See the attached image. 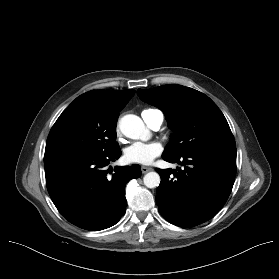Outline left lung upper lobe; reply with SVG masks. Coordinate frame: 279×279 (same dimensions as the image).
Masks as SVG:
<instances>
[{"label": "left lung upper lobe", "mask_w": 279, "mask_h": 279, "mask_svg": "<svg viewBox=\"0 0 279 279\" xmlns=\"http://www.w3.org/2000/svg\"><path fill=\"white\" fill-rule=\"evenodd\" d=\"M137 94L141 100L164 112L174 132L164 156L179 157L209 147L236 148L226 118L205 94L177 84L138 89Z\"/></svg>", "instance_id": "obj_1"}]
</instances>
